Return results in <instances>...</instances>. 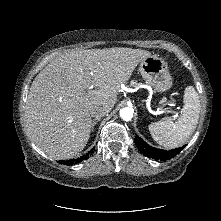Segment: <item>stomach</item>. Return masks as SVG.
I'll use <instances>...</instances> for the list:
<instances>
[{"label": "stomach", "instance_id": "obj_1", "mask_svg": "<svg viewBox=\"0 0 221 221\" xmlns=\"http://www.w3.org/2000/svg\"><path fill=\"white\" fill-rule=\"evenodd\" d=\"M139 71L145 82L156 92L162 93L172 86V77L167 63L158 56L152 55L141 61Z\"/></svg>", "mask_w": 221, "mask_h": 221}]
</instances>
